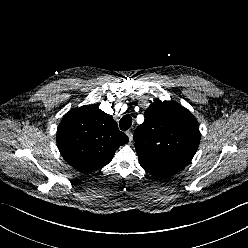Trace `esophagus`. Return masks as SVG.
Listing matches in <instances>:
<instances>
[{"mask_svg":"<svg viewBox=\"0 0 248 248\" xmlns=\"http://www.w3.org/2000/svg\"><path fill=\"white\" fill-rule=\"evenodd\" d=\"M126 135L128 136V139H129V141L131 142V141L133 140V133H132V131L128 130V131L126 132Z\"/></svg>","mask_w":248,"mask_h":248,"instance_id":"34e87169","label":"esophagus"}]
</instances>
